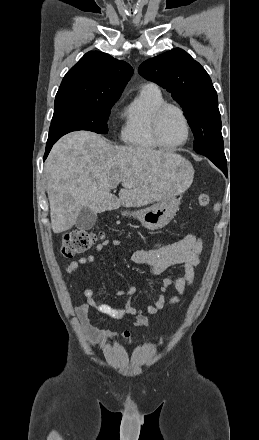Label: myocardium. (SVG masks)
<instances>
[{
	"label": "myocardium",
	"instance_id": "1",
	"mask_svg": "<svg viewBox=\"0 0 259 440\" xmlns=\"http://www.w3.org/2000/svg\"><path fill=\"white\" fill-rule=\"evenodd\" d=\"M169 109H174V110H176L179 113V115L181 116V118H182V120L184 122L185 128H186V136H185L184 140L182 142L174 144V145L166 144L162 140L161 135H160V125H161L162 118H163L164 114ZM152 135H153V138H154L155 142L161 148H164V149H167V150H175V149H178V148L184 146L189 141V139L191 137V125H190V122H189L188 117H187L186 113L184 112V110L180 106H178L176 104H173V103L166 102V103L162 104L156 110V112L154 114V117H153V121H152Z\"/></svg>",
	"mask_w": 259,
	"mask_h": 440
}]
</instances>
